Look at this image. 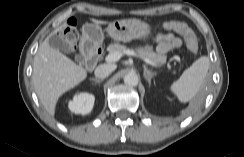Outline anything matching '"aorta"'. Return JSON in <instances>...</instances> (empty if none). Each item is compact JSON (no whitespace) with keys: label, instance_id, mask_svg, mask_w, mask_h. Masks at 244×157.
<instances>
[{"label":"aorta","instance_id":"obj_1","mask_svg":"<svg viewBox=\"0 0 244 157\" xmlns=\"http://www.w3.org/2000/svg\"><path fill=\"white\" fill-rule=\"evenodd\" d=\"M139 82L138 76L135 73H128L124 77V83L130 86H137Z\"/></svg>","mask_w":244,"mask_h":157}]
</instances>
